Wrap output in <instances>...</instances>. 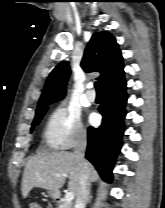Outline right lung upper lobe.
<instances>
[{"label": "right lung upper lobe", "instance_id": "right-lung-upper-lobe-1", "mask_svg": "<svg viewBox=\"0 0 165 208\" xmlns=\"http://www.w3.org/2000/svg\"><path fill=\"white\" fill-rule=\"evenodd\" d=\"M85 72H100L97 78L102 88L123 74V59L115 38L107 31L94 33L88 43L81 62ZM70 75L67 61L58 64L50 73L37 110L45 109L51 103L64 98Z\"/></svg>", "mask_w": 165, "mask_h": 208}]
</instances>
